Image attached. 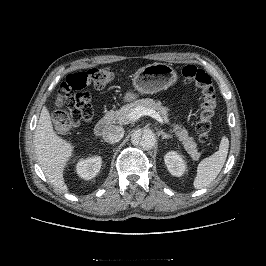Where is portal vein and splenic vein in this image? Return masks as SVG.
<instances>
[{
    "label": "portal vein and splenic vein",
    "mask_w": 266,
    "mask_h": 266,
    "mask_svg": "<svg viewBox=\"0 0 266 266\" xmlns=\"http://www.w3.org/2000/svg\"><path fill=\"white\" fill-rule=\"evenodd\" d=\"M144 115H148V116H151L152 118H155L161 124L164 123L163 118L160 116L158 112L150 108H145L143 106L135 107L130 113V119L132 121H135Z\"/></svg>",
    "instance_id": "1"
}]
</instances>
